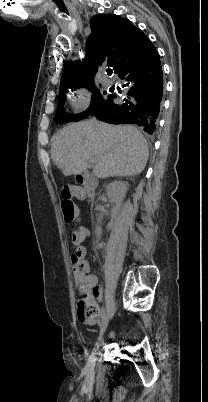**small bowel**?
<instances>
[{
  "label": "small bowel",
  "instance_id": "c3829d8e",
  "mask_svg": "<svg viewBox=\"0 0 208 402\" xmlns=\"http://www.w3.org/2000/svg\"><path fill=\"white\" fill-rule=\"evenodd\" d=\"M87 235L88 232L85 230V236L83 235L79 239L81 243L84 244L87 242ZM72 271L79 294L84 296L86 300L93 301L96 305L97 315L96 318H94V321L96 323L103 322L104 314L100 305V300L103 298V290L97 285V278L91 272L90 263L86 260L84 267H72ZM90 291L93 292L96 299L92 300V298L89 296ZM78 322L80 323V328L82 330H92L95 327V324L91 321L89 315H80L78 317Z\"/></svg>",
  "mask_w": 208,
  "mask_h": 402
}]
</instances>
